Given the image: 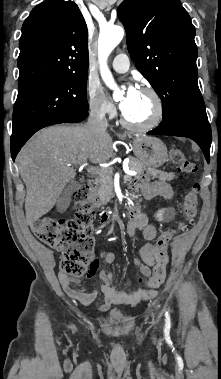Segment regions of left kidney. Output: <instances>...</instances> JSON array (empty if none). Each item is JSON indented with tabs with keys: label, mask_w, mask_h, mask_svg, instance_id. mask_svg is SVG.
<instances>
[{
	"label": "left kidney",
	"mask_w": 221,
	"mask_h": 379,
	"mask_svg": "<svg viewBox=\"0 0 221 379\" xmlns=\"http://www.w3.org/2000/svg\"><path fill=\"white\" fill-rule=\"evenodd\" d=\"M175 215L174 209H161L156 213V218L158 221H168Z\"/></svg>",
	"instance_id": "1"
}]
</instances>
